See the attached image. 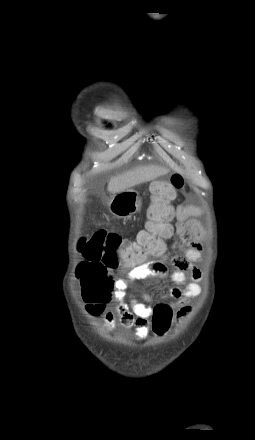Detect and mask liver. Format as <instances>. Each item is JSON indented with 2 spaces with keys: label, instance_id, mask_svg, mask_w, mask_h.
Masks as SVG:
<instances>
[{
  "label": "liver",
  "instance_id": "liver-1",
  "mask_svg": "<svg viewBox=\"0 0 255 440\" xmlns=\"http://www.w3.org/2000/svg\"><path fill=\"white\" fill-rule=\"evenodd\" d=\"M168 172L169 170L165 167L157 165L138 167L112 177L108 183L107 190L112 194L119 193L135 185L152 181L160 176L166 175Z\"/></svg>",
  "mask_w": 255,
  "mask_h": 440
}]
</instances>
